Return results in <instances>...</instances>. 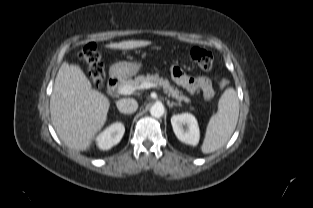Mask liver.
Returning a JSON list of instances; mask_svg holds the SVG:
<instances>
[{"instance_id":"1","label":"liver","mask_w":313,"mask_h":208,"mask_svg":"<svg viewBox=\"0 0 313 208\" xmlns=\"http://www.w3.org/2000/svg\"><path fill=\"white\" fill-rule=\"evenodd\" d=\"M151 44L147 40L110 43L106 48L131 50ZM110 102L78 65L63 62L57 73L50 98L52 125L60 139L77 151L89 149L107 119Z\"/></svg>"}]
</instances>
